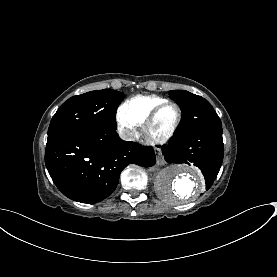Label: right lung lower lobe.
<instances>
[{
	"label": "right lung lower lobe",
	"mask_w": 277,
	"mask_h": 277,
	"mask_svg": "<svg viewBox=\"0 0 277 277\" xmlns=\"http://www.w3.org/2000/svg\"><path fill=\"white\" fill-rule=\"evenodd\" d=\"M156 162L153 149L123 141L116 129L94 128L47 140L45 164L57 188L68 198L96 203L114 192L130 163Z\"/></svg>",
	"instance_id": "1"
}]
</instances>
